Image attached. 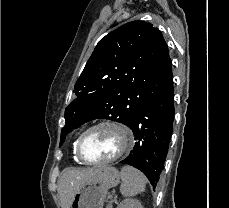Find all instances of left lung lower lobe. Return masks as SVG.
<instances>
[{
    "label": "left lung lower lobe",
    "mask_w": 229,
    "mask_h": 208,
    "mask_svg": "<svg viewBox=\"0 0 229 208\" xmlns=\"http://www.w3.org/2000/svg\"><path fill=\"white\" fill-rule=\"evenodd\" d=\"M174 120L173 83L147 102L128 126L136 143L120 163L142 171L155 186L160 179L168 153Z\"/></svg>",
    "instance_id": "0a47b994"
}]
</instances>
